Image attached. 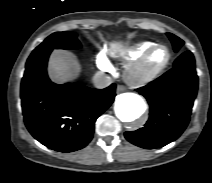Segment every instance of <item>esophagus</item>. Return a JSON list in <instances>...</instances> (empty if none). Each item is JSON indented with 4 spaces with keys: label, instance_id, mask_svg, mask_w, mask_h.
I'll return each mask as SVG.
<instances>
[{
    "label": "esophagus",
    "instance_id": "34e87169",
    "mask_svg": "<svg viewBox=\"0 0 212 183\" xmlns=\"http://www.w3.org/2000/svg\"><path fill=\"white\" fill-rule=\"evenodd\" d=\"M116 90H117L118 93H120V92H123L125 90V87L123 85H118Z\"/></svg>",
    "mask_w": 212,
    "mask_h": 183
}]
</instances>
